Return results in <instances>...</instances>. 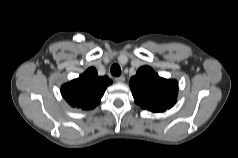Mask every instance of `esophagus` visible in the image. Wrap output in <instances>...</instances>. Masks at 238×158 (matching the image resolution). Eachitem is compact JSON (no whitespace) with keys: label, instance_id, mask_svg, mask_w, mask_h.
I'll return each instance as SVG.
<instances>
[{"label":"esophagus","instance_id":"esophagus-1","mask_svg":"<svg viewBox=\"0 0 238 158\" xmlns=\"http://www.w3.org/2000/svg\"><path fill=\"white\" fill-rule=\"evenodd\" d=\"M116 82H124L125 81V77L123 75L115 77L114 79Z\"/></svg>","mask_w":238,"mask_h":158}]
</instances>
